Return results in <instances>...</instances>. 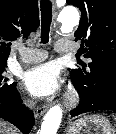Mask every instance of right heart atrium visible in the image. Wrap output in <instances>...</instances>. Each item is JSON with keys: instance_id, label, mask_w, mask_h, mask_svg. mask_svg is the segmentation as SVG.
I'll return each mask as SVG.
<instances>
[{"instance_id": "d8ad5b80", "label": "right heart atrium", "mask_w": 116, "mask_h": 134, "mask_svg": "<svg viewBox=\"0 0 116 134\" xmlns=\"http://www.w3.org/2000/svg\"><path fill=\"white\" fill-rule=\"evenodd\" d=\"M23 102L25 105L27 106H32L33 105V102L27 98H23Z\"/></svg>"}]
</instances>
